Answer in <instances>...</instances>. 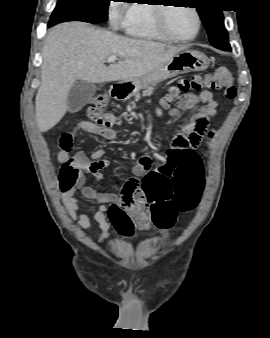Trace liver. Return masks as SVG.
<instances>
[{
	"mask_svg": "<svg viewBox=\"0 0 270 338\" xmlns=\"http://www.w3.org/2000/svg\"><path fill=\"white\" fill-rule=\"evenodd\" d=\"M186 46L122 37L83 22H67L50 29L42 50L41 85L35 100L40 132L54 127L65 115L73 84L127 82L170 60ZM118 63L106 67L110 56Z\"/></svg>",
	"mask_w": 270,
	"mask_h": 338,
	"instance_id": "liver-1",
	"label": "liver"
}]
</instances>
